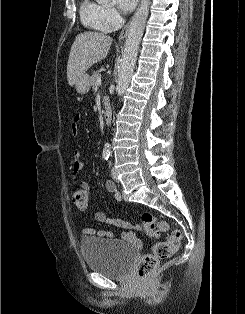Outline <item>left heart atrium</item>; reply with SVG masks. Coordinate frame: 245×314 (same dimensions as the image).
I'll use <instances>...</instances> for the list:
<instances>
[{
  "instance_id": "39dd6f15",
  "label": "left heart atrium",
  "mask_w": 245,
  "mask_h": 314,
  "mask_svg": "<svg viewBox=\"0 0 245 314\" xmlns=\"http://www.w3.org/2000/svg\"><path fill=\"white\" fill-rule=\"evenodd\" d=\"M137 0H116V4L118 8L124 12L131 11L135 5Z\"/></svg>"
}]
</instances>
